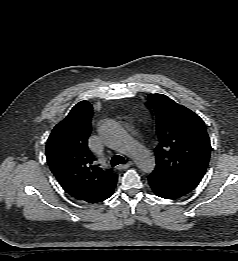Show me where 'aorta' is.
Here are the masks:
<instances>
[{
	"label": "aorta",
	"mask_w": 238,
	"mask_h": 261,
	"mask_svg": "<svg viewBox=\"0 0 238 261\" xmlns=\"http://www.w3.org/2000/svg\"><path fill=\"white\" fill-rule=\"evenodd\" d=\"M103 134L117 150L131 157L143 172L151 173L154 170V156L143 145L131 140L116 122L106 121L103 125Z\"/></svg>",
	"instance_id": "aorta-1"
}]
</instances>
